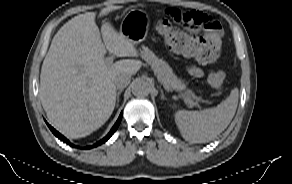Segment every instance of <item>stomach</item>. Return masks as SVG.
I'll return each instance as SVG.
<instances>
[{
  "mask_svg": "<svg viewBox=\"0 0 292 184\" xmlns=\"http://www.w3.org/2000/svg\"><path fill=\"white\" fill-rule=\"evenodd\" d=\"M150 17L141 9H131L124 16L120 33L133 44L142 42L148 33Z\"/></svg>",
  "mask_w": 292,
  "mask_h": 184,
  "instance_id": "0dacf381",
  "label": "stomach"
}]
</instances>
